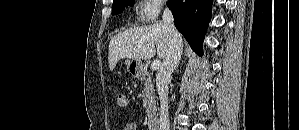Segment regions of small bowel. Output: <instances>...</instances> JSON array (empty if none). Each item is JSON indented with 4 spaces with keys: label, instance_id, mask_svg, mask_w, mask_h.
Returning <instances> with one entry per match:
<instances>
[{
    "label": "small bowel",
    "instance_id": "1",
    "mask_svg": "<svg viewBox=\"0 0 299 130\" xmlns=\"http://www.w3.org/2000/svg\"><path fill=\"white\" fill-rule=\"evenodd\" d=\"M137 129V123L136 122H128L124 125L122 130H136Z\"/></svg>",
    "mask_w": 299,
    "mask_h": 130
}]
</instances>
